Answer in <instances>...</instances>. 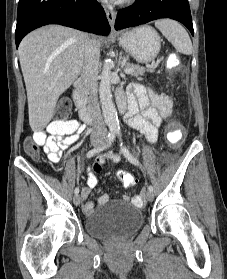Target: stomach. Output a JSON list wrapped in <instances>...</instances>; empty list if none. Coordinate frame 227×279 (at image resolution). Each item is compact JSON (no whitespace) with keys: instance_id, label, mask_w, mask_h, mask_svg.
I'll use <instances>...</instances> for the list:
<instances>
[{"instance_id":"0dacf381","label":"stomach","mask_w":227,"mask_h":279,"mask_svg":"<svg viewBox=\"0 0 227 279\" xmlns=\"http://www.w3.org/2000/svg\"><path fill=\"white\" fill-rule=\"evenodd\" d=\"M119 45L139 63L152 61L159 53L161 39L151 27H137L118 37Z\"/></svg>"}]
</instances>
